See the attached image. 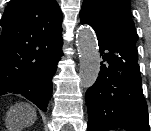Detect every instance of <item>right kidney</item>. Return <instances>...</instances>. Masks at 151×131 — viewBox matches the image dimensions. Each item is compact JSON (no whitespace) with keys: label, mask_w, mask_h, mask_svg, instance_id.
<instances>
[{"label":"right kidney","mask_w":151,"mask_h":131,"mask_svg":"<svg viewBox=\"0 0 151 131\" xmlns=\"http://www.w3.org/2000/svg\"><path fill=\"white\" fill-rule=\"evenodd\" d=\"M16 119H17V116L11 117L12 122H15ZM27 120H28V118L25 119V124H28ZM21 122L22 121H20L19 124H21ZM13 124H15V123H13ZM18 128L19 127H16L15 125H13L12 127H10V131H18Z\"/></svg>","instance_id":"right-kidney-1"}]
</instances>
